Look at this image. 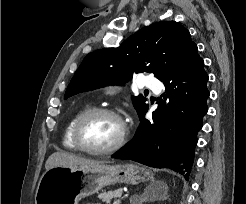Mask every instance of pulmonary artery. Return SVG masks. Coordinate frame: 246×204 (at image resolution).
<instances>
[{
    "instance_id": "obj_1",
    "label": "pulmonary artery",
    "mask_w": 246,
    "mask_h": 204,
    "mask_svg": "<svg viewBox=\"0 0 246 204\" xmlns=\"http://www.w3.org/2000/svg\"><path fill=\"white\" fill-rule=\"evenodd\" d=\"M141 87L150 89L158 93L161 90V83L154 77L145 76L142 79Z\"/></svg>"
}]
</instances>
